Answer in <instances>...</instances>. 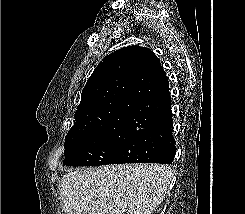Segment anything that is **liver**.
Wrapping results in <instances>:
<instances>
[{"instance_id":"obj_1","label":"liver","mask_w":245,"mask_h":214,"mask_svg":"<svg viewBox=\"0 0 245 214\" xmlns=\"http://www.w3.org/2000/svg\"><path fill=\"white\" fill-rule=\"evenodd\" d=\"M171 177L156 164L80 168L62 177L60 203L66 214H152Z\"/></svg>"}]
</instances>
